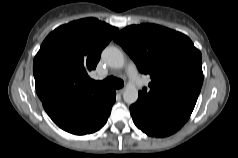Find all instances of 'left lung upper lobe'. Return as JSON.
Instances as JSON below:
<instances>
[{
    "mask_svg": "<svg viewBox=\"0 0 238 158\" xmlns=\"http://www.w3.org/2000/svg\"><path fill=\"white\" fill-rule=\"evenodd\" d=\"M149 74L150 89L139 95L152 100L198 96L203 83L201 53L184 34L155 24L128 26L114 38Z\"/></svg>",
    "mask_w": 238,
    "mask_h": 158,
    "instance_id": "5c2ea615",
    "label": "left lung upper lobe"
}]
</instances>
